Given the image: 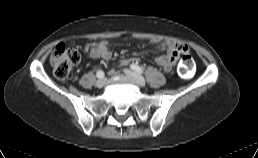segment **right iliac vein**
Masks as SVG:
<instances>
[{
	"instance_id": "obj_1",
	"label": "right iliac vein",
	"mask_w": 258,
	"mask_h": 158,
	"mask_svg": "<svg viewBox=\"0 0 258 158\" xmlns=\"http://www.w3.org/2000/svg\"><path fill=\"white\" fill-rule=\"evenodd\" d=\"M106 80L104 78H100L97 82H96V86L98 88H102L105 85Z\"/></svg>"
}]
</instances>
